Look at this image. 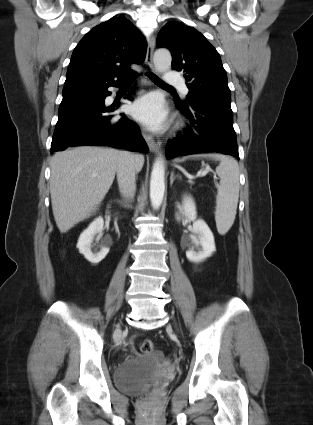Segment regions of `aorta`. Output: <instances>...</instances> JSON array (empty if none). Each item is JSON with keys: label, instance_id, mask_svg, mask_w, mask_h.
I'll return each mask as SVG.
<instances>
[{"label": "aorta", "instance_id": "obj_1", "mask_svg": "<svg viewBox=\"0 0 313 425\" xmlns=\"http://www.w3.org/2000/svg\"><path fill=\"white\" fill-rule=\"evenodd\" d=\"M172 62L171 53L167 49H158L154 53V65L158 72L169 70ZM165 192V168L161 157L153 165L150 179V200L154 209H159Z\"/></svg>", "mask_w": 313, "mask_h": 425}]
</instances>
